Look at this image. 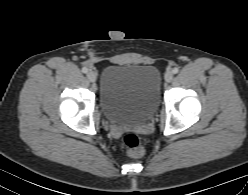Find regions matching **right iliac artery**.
I'll return each mask as SVG.
<instances>
[{"mask_svg": "<svg viewBox=\"0 0 248 195\" xmlns=\"http://www.w3.org/2000/svg\"><path fill=\"white\" fill-rule=\"evenodd\" d=\"M82 72H83V73H87V72H88V69H87L86 67H83V68H82Z\"/></svg>", "mask_w": 248, "mask_h": 195, "instance_id": "1", "label": "right iliac artery"}]
</instances>
